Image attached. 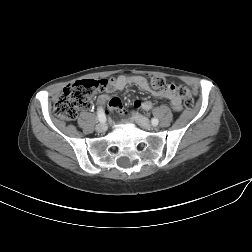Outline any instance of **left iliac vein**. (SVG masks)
Here are the masks:
<instances>
[{"label": "left iliac vein", "mask_w": 252, "mask_h": 252, "mask_svg": "<svg viewBox=\"0 0 252 252\" xmlns=\"http://www.w3.org/2000/svg\"><path fill=\"white\" fill-rule=\"evenodd\" d=\"M133 118L136 121V123L139 126H141L142 128L151 129V124H150L149 120L146 117H144V116H142V115H140L138 113H133Z\"/></svg>", "instance_id": "1"}]
</instances>
